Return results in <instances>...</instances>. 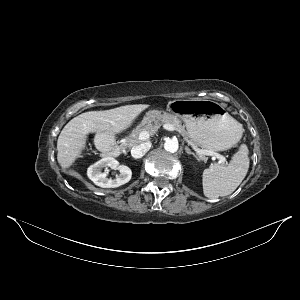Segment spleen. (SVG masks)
<instances>
[{"label": "spleen", "mask_w": 300, "mask_h": 300, "mask_svg": "<svg viewBox=\"0 0 300 300\" xmlns=\"http://www.w3.org/2000/svg\"><path fill=\"white\" fill-rule=\"evenodd\" d=\"M238 125L243 132L241 124ZM249 164L248 147L245 144L240 146L228 165L211 164L202 175L204 195L209 199H216L233 193L245 178Z\"/></svg>", "instance_id": "1"}]
</instances>
